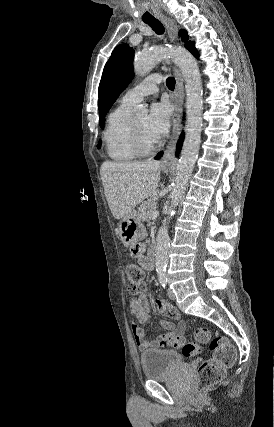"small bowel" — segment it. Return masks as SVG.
Masks as SVG:
<instances>
[{
  "mask_svg": "<svg viewBox=\"0 0 274 427\" xmlns=\"http://www.w3.org/2000/svg\"><path fill=\"white\" fill-rule=\"evenodd\" d=\"M139 264L146 271H151L154 268L152 261H150L145 255V246L139 245L136 250ZM171 302L169 299H152L151 306L156 308L158 313H169L170 312ZM129 312L131 315L130 326L133 337L138 348L142 352H147L152 349H158L162 346L167 345L168 339L181 335L186 331V324L183 321H179L176 328L160 337L153 340H150L146 337L145 331L142 327L143 323H146L151 320V315L149 313L148 300L145 295H140L133 298L129 303ZM174 319H179V313ZM160 324L165 328H171V322L167 320H161Z\"/></svg>",
  "mask_w": 274,
  "mask_h": 427,
  "instance_id": "obj_1",
  "label": "small bowel"
}]
</instances>
